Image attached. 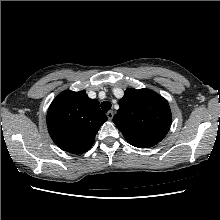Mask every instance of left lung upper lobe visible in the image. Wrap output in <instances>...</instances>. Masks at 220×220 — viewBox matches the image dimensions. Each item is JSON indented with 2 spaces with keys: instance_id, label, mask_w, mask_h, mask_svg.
I'll return each mask as SVG.
<instances>
[{
  "instance_id": "obj_1",
  "label": "left lung upper lobe",
  "mask_w": 220,
  "mask_h": 220,
  "mask_svg": "<svg viewBox=\"0 0 220 220\" xmlns=\"http://www.w3.org/2000/svg\"><path fill=\"white\" fill-rule=\"evenodd\" d=\"M113 122L131 145L148 148L159 143L171 125L168 102L149 89H127Z\"/></svg>"
}]
</instances>
